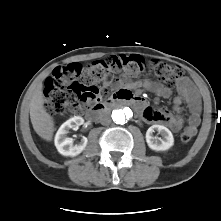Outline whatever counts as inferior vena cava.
<instances>
[{"instance_id":"obj_1","label":"inferior vena cava","mask_w":221,"mask_h":221,"mask_svg":"<svg viewBox=\"0 0 221 221\" xmlns=\"http://www.w3.org/2000/svg\"><path fill=\"white\" fill-rule=\"evenodd\" d=\"M99 122H100L102 125H109V124L111 123L110 114L107 113V112H102V113L99 115Z\"/></svg>"}]
</instances>
